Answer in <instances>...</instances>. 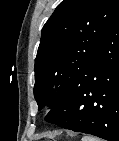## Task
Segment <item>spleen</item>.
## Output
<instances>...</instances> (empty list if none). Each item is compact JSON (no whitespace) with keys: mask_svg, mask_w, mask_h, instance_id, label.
I'll list each match as a JSON object with an SVG mask.
<instances>
[{"mask_svg":"<svg viewBox=\"0 0 119 141\" xmlns=\"http://www.w3.org/2000/svg\"><path fill=\"white\" fill-rule=\"evenodd\" d=\"M81 141H99V139L91 136H84Z\"/></svg>","mask_w":119,"mask_h":141,"instance_id":"3e777b00","label":"spleen"}]
</instances>
